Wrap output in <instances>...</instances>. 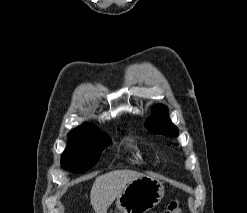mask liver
<instances>
[{
	"mask_svg": "<svg viewBox=\"0 0 247 213\" xmlns=\"http://www.w3.org/2000/svg\"><path fill=\"white\" fill-rule=\"evenodd\" d=\"M144 174L132 170H117L96 177L90 193V202L96 213H107L109 206L130 182Z\"/></svg>",
	"mask_w": 247,
	"mask_h": 213,
	"instance_id": "obj_1",
	"label": "liver"
}]
</instances>
